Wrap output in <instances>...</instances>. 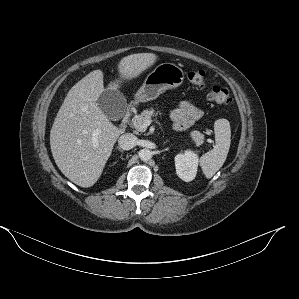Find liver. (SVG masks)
Listing matches in <instances>:
<instances>
[{
    "instance_id": "obj_1",
    "label": "liver",
    "mask_w": 299,
    "mask_h": 299,
    "mask_svg": "<svg viewBox=\"0 0 299 299\" xmlns=\"http://www.w3.org/2000/svg\"><path fill=\"white\" fill-rule=\"evenodd\" d=\"M154 53L128 55L118 63L119 79L110 82L117 90L121 82L137 78L151 67ZM103 72L94 70L68 92L50 131L53 158L61 172L81 187H91L100 178L113 146L123 130L114 126L100 110L97 100L104 91Z\"/></svg>"
}]
</instances>
